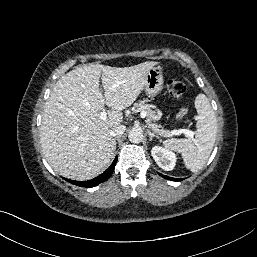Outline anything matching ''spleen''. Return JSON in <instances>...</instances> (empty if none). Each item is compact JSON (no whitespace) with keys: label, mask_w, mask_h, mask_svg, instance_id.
<instances>
[{"label":"spleen","mask_w":257,"mask_h":257,"mask_svg":"<svg viewBox=\"0 0 257 257\" xmlns=\"http://www.w3.org/2000/svg\"><path fill=\"white\" fill-rule=\"evenodd\" d=\"M195 107L199 115L195 140L172 138L163 142L167 149L181 153L186 168L192 172L200 170L208 160L216 140L218 128L215 113L204 94L197 95Z\"/></svg>","instance_id":"spleen-1"}]
</instances>
